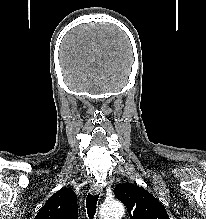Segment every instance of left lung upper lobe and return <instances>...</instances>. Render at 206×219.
<instances>
[{
  "mask_svg": "<svg viewBox=\"0 0 206 219\" xmlns=\"http://www.w3.org/2000/svg\"><path fill=\"white\" fill-rule=\"evenodd\" d=\"M114 194L127 207L130 219H169L158 199L137 185L119 184Z\"/></svg>",
  "mask_w": 206,
  "mask_h": 219,
  "instance_id": "left-lung-upper-lobe-1",
  "label": "left lung upper lobe"
}]
</instances>
